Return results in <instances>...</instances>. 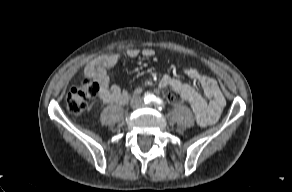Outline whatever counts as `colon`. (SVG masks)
<instances>
[{
  "mask_svg": "<svg viewBox=\"0 0 292 192\" xmlns=\"http://www.w3.org/2000/svg\"><path fill=\"white\" fill-rule=\"evenodd\" d=\"M101 90L100 83L88 78L79 87L71 88L66 96L67 110L72 115H80L88 106L90 99L99 96ZM168 101L174 105L182 102L178 94L172 91L164 92Z\"/></svg>",
  "mask_w": 292,
  "mask_h": 192,
  "instance_id": "5ec220e1",
  "label": "colon"
}]
</instances>
